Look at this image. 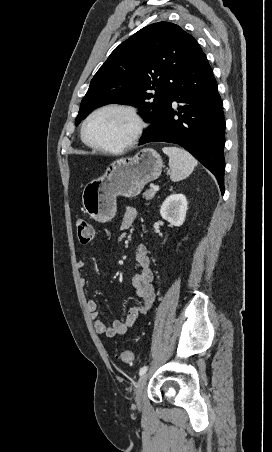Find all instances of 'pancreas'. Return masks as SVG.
Segmentation results:
<instances>
[{
  "mask_svg": "<svg viewBox=\"0 0 272 452\" xmlns=\"http://www.w3.org/2000/svg\"><path fill=\"white\" fill-rule=\"evenodd\" d=\"M155 194H156V191H154L153 188H150L149 190H147L146 192L143 193V198H145L146 200H151V199H153Z\"/></svg>",
  "mask_w": 272,
  "mask_h": 452,
  "instance_id": "1",
  "label": "pancreas"
}]
</instances>
